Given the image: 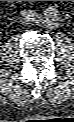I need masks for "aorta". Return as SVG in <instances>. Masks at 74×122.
<instances>
[{
    "label": "aorta",
    "mask_w": 74,
    "mask_h": 122,
    "mask_svg": "<svg viewBox=\"0 0 74 122\" xmlns=\"http://www.w3.org/2000/svg\"><path fill=\"white\" fill-rule=\"evenodd\" d=\"M45 19L47 22H54L56 20V17L51 14H45Z\"/></svg>",
    "instance_id": "aorta-1"
}]
</instances>
